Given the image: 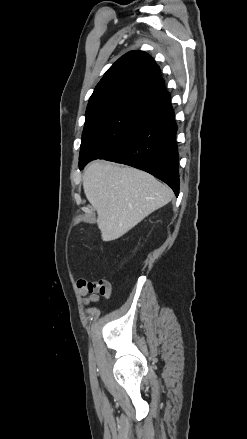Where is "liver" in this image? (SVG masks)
Listing matches in <instances>:
<instances>
[{
    "mask_svg": "<svg viewBox=\"0 0 247 439\" xmlns=\"http://www.w3.org/2000/svg\"><path fill=\"white\" fill-rule=\"evenodd\" d=\"M83 189L105 241L120 238L173 197L172 190L152 175L99 160L86 167Z\"/></svg>",
    "mask_w": 247,
    "mask_h": 439,
    "instance_id": "1",
    "label": "liver"
}]
</instances>
